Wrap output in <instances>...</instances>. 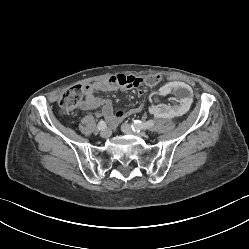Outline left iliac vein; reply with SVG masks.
Here are the masks:
<instances>
[{
    "mask_svg": "<svg viewBox=\"0 0 249 249\" xmlns=\"http://www.w3.org/2000/svg\"><path fill=\"white\" fill-rule=\"evenodd\" d=\"M121 130L124 132V133H126V134H132L133 133V130H132V128H131V126L129 125V124H127V123H124V124H122V126H121ZM139 137H145L147 134H146V132L145 131H139V132H137L136 133Z\"/></svg>",
    "mask_w": 249,
    "mask_h": 249,
    "instance_id": "1",
    "label": "left iliac vein"
}]
</instances>
